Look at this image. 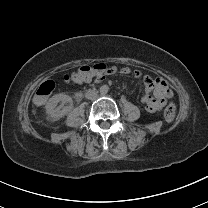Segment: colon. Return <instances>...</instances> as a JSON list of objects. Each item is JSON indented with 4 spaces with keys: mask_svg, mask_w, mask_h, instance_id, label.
Returning a JSON list of instances; mask_svg holds the SVG:
<instances>
[{
    "mask_svg": "<svg viewBox=\"0 0 208 208\" xmlns=\"http://www.w3.org/2000/svg\"><path fill=\"white\" fill-rule=\"evenodd\" d=\"M107 70L106 66L102 63H96L94 65H81L71 76L75 81L79 79H91L96 75H102V72ZM70 74L65 75V79L68 80ZM57 87L55 81L50 80L44 86H42L37 94L33 97V102L37 106H42L46 102V98L51 94ZM176 117V105L174 102H170L164 111V120L170 124L175 120Z\"/></svg>",
    "mask_w": 208,
    "mask_h": 208,
    "instance_id": "obj_1",
    "label": "colon"
}]
</instances>
